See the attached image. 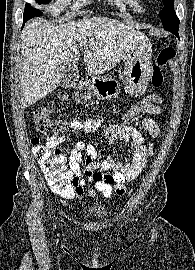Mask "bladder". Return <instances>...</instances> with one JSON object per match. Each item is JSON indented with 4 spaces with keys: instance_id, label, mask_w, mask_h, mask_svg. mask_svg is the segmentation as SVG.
<instances>
[{
    "instance_id": "obj_1",
    "label": "bladder",
    "mask_w": 195,
    "mask_h": 270,
    "mask_svg": "<svg viewBox=\"0 0 195 270\" xmlns=\"http://www.w3.org/2000/svg\"><path fill=\"white\" fill-rule=\"evenodd\" d=\"M87 216L92 220H103L110 216V212L105 208H93L88 212Z\"/></svg>"
}]
</instances>
